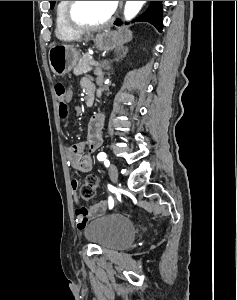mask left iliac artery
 Listing matches in <instances>:
<instances>
[{
    "label": "left iliac artery",
    "mask_w": 237,
    "mask_h": 300,
    "mask_svg": "<svg viewBox=\"0 0 237 300\" xmlns=\"http://www.w3.org/2000/svg\"><path fill=\"white\" fill-rule=\"evenodd\" d=\"M97 158H98L99 161H104L105 166L109 167L110 162L107 159L106 153H104V152L99 153L97 155ZM113 205H114V201H113V199L111 197H109V208L111 209L113 207Z\"/></svg>",
    "instance_id": "left-iliac-artery-1"
}]
</instances>
